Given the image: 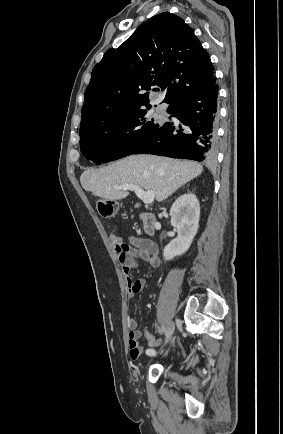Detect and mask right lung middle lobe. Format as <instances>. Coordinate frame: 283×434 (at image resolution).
<instances>
[{
	"instance_id": "1",
	"label": "right lung middle lobe",
	"mask_w": 283,
	"mask_h": 434,
	"mask_svg": "<svg viewBox=\"0 0 283 434\" xmlns=\"http://www.w3.org/2000/svg\"><path fill=\"white\" fill-rule=\"evenodd\" d=\"M150 107L115 115L96 125L80 130V150L100 164L133 154L162 124L148 115Z\"/></svg>"
}]
</instances>
